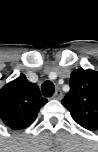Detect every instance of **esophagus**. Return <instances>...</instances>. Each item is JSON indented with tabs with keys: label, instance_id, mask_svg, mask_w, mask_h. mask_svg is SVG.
Returning a JSON list of instances; mask_svg holds the SVG:
<instances>
[{
	"label": "esophagus",
	"instance_id": "1",
	"mask_svg": "<svg viewBox=\"0 0 98 152\" xmlns=\"http://www.w3.org/2000/svg\"><path fill=\"white\" fill-rule=\"evenodd\" d=\"M53 98L57 100L62 98V91L59 88L55 91Z\"/></svg>",
	"mask_w": 98,
	"mask_h": 152
}]
</instances>
